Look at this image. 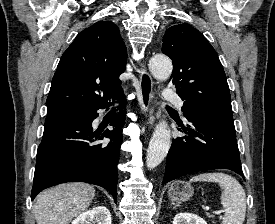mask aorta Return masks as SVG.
Instances as JSON below:
<instances>
[{"label": "aorta", "instance_id": "obj_1", "mask_svg": "<svg viewBox=\"0 0 275 224\" xmlns=\"http://www.w3.org/2000/svg\"><path fill=\"white\" fill-rule=\"evenodd\" d=\"M149 68L152 75L158 80L170 77L173 66L171 60L164 55H155L150 59ZM171 146V132L165 121L156 126L149 142L146 164L149 168L157 167L166 157Z\"/></svg>", "mask_w": 275, "mask_h": 224}]
</instances>
